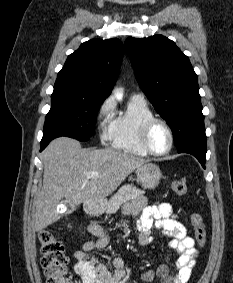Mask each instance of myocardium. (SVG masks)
I'll return each instance as SVG.
<instances>
[{"mask_svg": "<svg viewBox=\"0 0 233 283\" xmlns=\"http://www.w3.org/2000/svg\"><path fill=\"white\" fill-rule=\"evenodd\" d=\"M156 123H160L162 124L168 134H169V146L168 148L163 151V152H157L155 150H153L149 144V133L151 128L156 124ZM138 138H139V143L142 146V148L150 155H154V156H163L168 154L171 149L173 148L174 145V133L173 130L171 128V126L168 124V122L160 117H156V116H152L147 118L146 120L143 121V123L140 125L139 128V132H138Z\"/></svg>", "mask_w": 233, "mask_h": 283, "instance_id": "f54148a6", "label": "myocardium"}]
</instances>
